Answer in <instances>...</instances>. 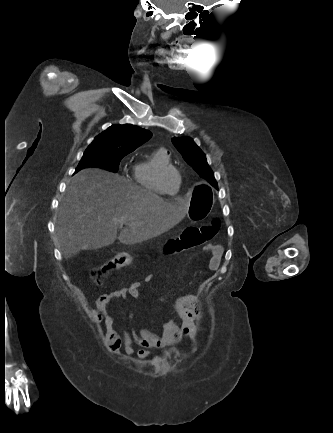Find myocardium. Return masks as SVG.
I'll use <instances>...</instances> for the list:
<instances>
[{"label":"myocardium","instance_id":"obj_1","mask_svg":"<svg viewBox=\"0 0 333 433\" xmlns=\"http://www.w3.org/2000/svg\"><path fill=\"white\" fill-rule=\"evenodd\" d=\"M170 171L176 173V175L178 177V180H180V172H179L178 168H176L173 165H167V166H163V167H161L159 169V171L157 173V182H158L160 188L162 189V191L164 192L165 195H167V196H176L175 193H169V192H167V190L164 187V177H165L166 173H168Z\"/></svg>","mask_w":333,"mask_h":433}]
</instances>
